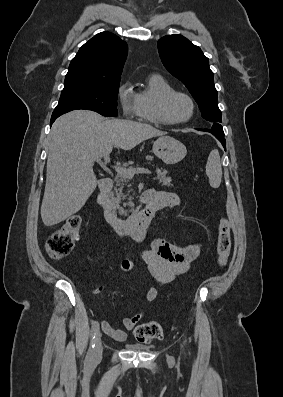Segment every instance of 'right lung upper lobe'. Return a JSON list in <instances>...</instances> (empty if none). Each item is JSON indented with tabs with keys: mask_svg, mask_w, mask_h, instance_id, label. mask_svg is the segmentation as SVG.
<instances>
[{
	"mask_svg": "<svg viewBox=\"0 0 283 397\" xmlns=\"http://www.w3.org/2000/svg\"><path fill=\"white\" fill-rule=\"evenodd\" d=\"M127 43L110 32H101L86 42L71 60L68 73L104 79H119L127 57Z\"/></svg>",
	"mask_w": 283,
	"mask_h": 397,
	"instance_id": "obj_1",
	"label": "right lung upper lobe"
}]
</instances>
